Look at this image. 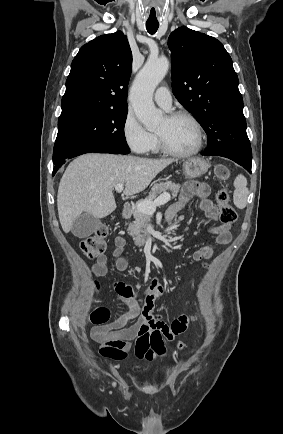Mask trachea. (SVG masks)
Wrapping results in <instances>:
<instances>
[{"label":"trachea","mask_w":283,"mask_h":434,"mask_svg":"<svg viewBox=\"0 0 283 434\" xmlns=\"http://www.w3.org/2000/svg\"><path fill=\"white\" fill-rule=\"evenodd\" d=\"M158 27H159V23H155V22L146 23V29L151 35L156 33Z\"/></svg>","instance_id":"3493384b"}]
</instances>
